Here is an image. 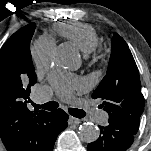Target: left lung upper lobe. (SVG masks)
Returning <instances> with one entry per match:
<instances>
[{
    "mask_svg": "<svg viewBox=\"0 0 151 151\" xmlns=\"http://www.w3.org/2000/svg\"><path fill=\"white\" fill-rule=\"evenodd\" d=\"M111 43L107 73L92 98L102 101L100 107L109 114L108 122L134 135L144 110L139 72L124 39L113 33Z\"/></svg>",
    "mask_w": 151,
    "mask_h": 151,
    "instance_id": "5c2ea615",
    "label": "left lung upper lobe"
}]
</instances>
